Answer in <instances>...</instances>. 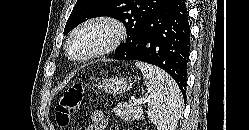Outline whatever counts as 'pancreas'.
Returning <instances> with one entry per match:
<instances>
[{"label": "pancreas", "instance_id": "pancreas-1", "mask_svg": "<svg viewBox=\"0 0 249 130\" xmlns=\"http://www.w3.org/2000/svg\"><path fill=\"white\" fill-rule=\"evenodd\" d=\"M116 116H119L122 119L125 120H143V110L140 107H137L136 105L132 103H123L119 104L118 106L114 107L113 109Z\"/></svg>", "mask_w": 249, "mask_h": 130}]
</instances>
